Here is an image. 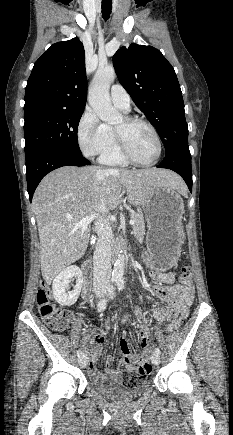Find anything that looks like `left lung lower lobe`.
Wrapping results in <instances>:
<instances>
[{
	"instance_id": "1",
	"label": "left lung lower lobe",
	"mask_w": 233,
	"mask_h": 435,
	"mask_svg": "<svg viewBox=\"0 0 233 435\" xmlns=\"http://www.w3.org/2000/svg\"><path fill=\"white\" fill-rule=\"evenodd\" d=\"M158 168H167L177 172L192 191L191 155L188 144L180 145L166 153L165 158Z\"/></svg>"
}]
</instances>
